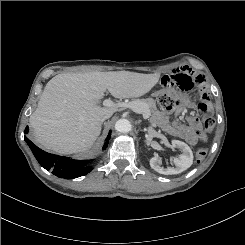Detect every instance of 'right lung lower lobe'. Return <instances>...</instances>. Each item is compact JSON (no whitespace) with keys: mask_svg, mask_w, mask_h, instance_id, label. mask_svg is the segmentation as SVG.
I'll list each match as a JSON object with an SVG mask.
<instances>
[{"mask_svg":"<svg viewBox=\"0 0 245 245\" xmlns=\"http://www.w3.org/2000/svg\"><path fill=\"white\" fill-rule=\"evenodd\" d=\"M24 132L25 134L28 133V127H26ZM110 137L111 131L109 132L106 143L103 146V150L106 149ZM24 140L29 145L40 165L46 170H50L54 175L59 178L73 179L84 176L92 170V167L86 165L87 163H89V161L73 160L70 158L49 154L38 148L26 136H24Z\"/></svg>","mask_w":245,"mask_h":245,"instance_id":"98d812e1","label":"right lung lower lobe"}]
</instances>
